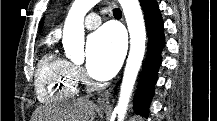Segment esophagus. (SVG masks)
<instances>
[{
  "instance_id": "obj_1",
  "label": "esophagus",
  "mask_w": 217,
  "mask_h": 121,
  "mask_svg": "<svg viewBox=\"0 0 217 121\" xmlns=\"http://www.w3.org/2000/svg\"><path fill=\"white\" fill-rule=\"evenodd\" d=\"M114 85H112L108 90L104 91L97 99V104L100 106H108L110 103V97L113 92Z\"/></svg>"
}]
</instances>
